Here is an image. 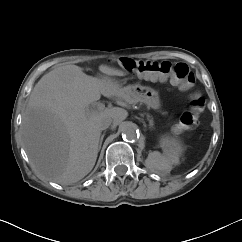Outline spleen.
<instances>
[{"instance_id": "obj_1", "label": "spleen", "mask_w": 242, "mask_h": 242, "mask_svg": "<svg viewBox=\"0 0 242 242\" xmlns=\"http://www.w3.org/2000/svg\"><path fill=\"white\" fill-rule=\"evenodd\" d=\"M179 161V153L174 150H167L166 153L159 152L150 153L147 164L150 168L168 173L172 170V166Z\"/></svg>"}]
</instances>
